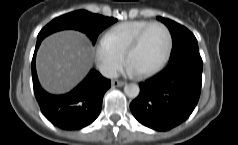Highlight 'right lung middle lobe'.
I'll list each match as a JSON object with an SVG mask.
<instances>
[{"label":"right lung middle lobe","mask_w":238,"mask_h":145,"mask_svg":"<svg viewBox=\"0 0 238 145\" xmlns=\"http://www.w3.org/2000/svg\"><path fill=\"white\" fill-rule=\"evenodd\" d=\"M116 21L115 18L104 17L85 10L74 11L53 19L40 31L37 41L43 40L53 32L74 29L87 34L92 43L95 44L100 32Z\"/></svg>","instance_id":"dd1d6c3e"}]
</instances>
